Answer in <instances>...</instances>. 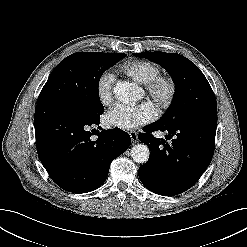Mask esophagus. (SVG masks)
Wrapping results in <instances>:
<instances>
[{
    "label": "esophagus",
    "instance_id": "1",
    "mask_svg": "<svg viewBox=\"0 0 247 247\" xmlns=\"http://www.w3.org/2000/svg\"><path fill=\"white\" fill-rule=\"evenodd\" d=\"M129 135L131 137L132 143L135 144L138 142V134L136 131H130Z\"/></svg>",
    "mask_w": 247,
    "mask_h": 247
}]
</instances>
